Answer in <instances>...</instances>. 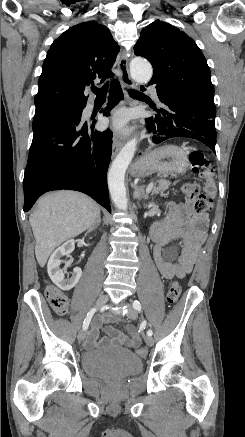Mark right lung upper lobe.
Returning a JSON list of instances; mask_svg holds the SVG:
<instances>
[{
    "label": "right lung upper lobe",
    "instance_id": "cb5924a9",
    "mask_svg": "<svg viewBox=\"0 0 245 437\" xmlns=\"http://www.w3.org/2000/svg\"><path fill=\"white\" fill-rule=\"evenodd\" d=\"M119 49L109 29L96 21L69 28L47 52L35 96L36 110L57 104L86 105L85 88L95 79L102 83L113 76L111 67Z\"/></svg>",
    "mask_w": 245,
    "mask_h": 437
}]
</instances>
